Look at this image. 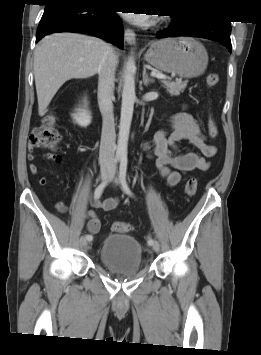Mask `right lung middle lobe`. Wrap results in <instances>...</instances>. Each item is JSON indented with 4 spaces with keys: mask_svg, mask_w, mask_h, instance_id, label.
<instances>
[{
    "mask_svg": "<svg viewBox=\"0 0 261 355\" xmlns=\"http://www.w3.org/2000/svg\"><path fill=\"white\" fill-rule=\"evenodd\" d=\"M90 2H95L96 0H89Z\"/></svg>",
    "mask_w": 261,
    "mask_h": 355,
    "instance_id": "right-lung-middle-lobe-1",
    "label": "right lung middle lobe"
}]
</instances>
